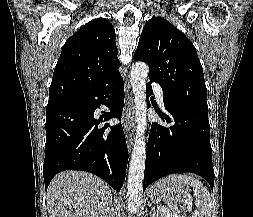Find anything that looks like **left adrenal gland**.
I'll return each mask as SVG.
<instances>
[{
    "mask_svg": "<svg viewBox=\"0 0 253 217\" xmlns=\"http://www.w3.org/2000/svg\"><path fill=\"white\" fill-rule=\"evenodd\" d=\"M152 203H154V199L153 198H152L151 203L149 204V206H151ZM156 214H157V210L154 207H152V210H151V213H150V217H156Z\"/></svg>",
    "mask_w": 253,
    "mask_h": 217,
    "instance_id": "1",
    "label": "left adrenal gland"
}]
</instances>
